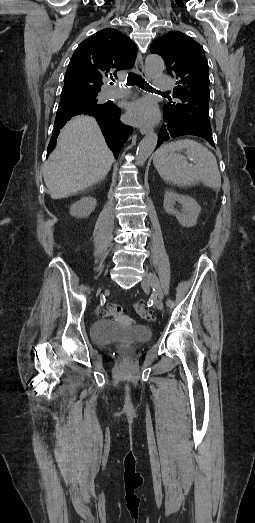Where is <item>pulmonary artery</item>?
<instances>
[{"label":"pulmonary artery","instance_id":"e3ab8cb5","mask_svg":"<svg viewBox=\"0 0 255 523\" xmlns=\"http://www.w3.org/2000/svg\"><path fill=\"white\" fill-rule=\"evenodd\" d=\"M156 88L160 92H171L174 90L175 85L172 78L168 77L166 74H157L155 76ZM129 91V88L115 82L113 86L106 90V97L108 99H117L125 96Z\"/></svg>","mask_w":255,"mask_h":523}]
</instances>
